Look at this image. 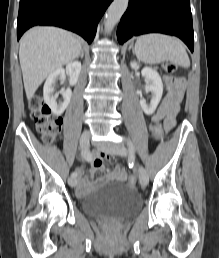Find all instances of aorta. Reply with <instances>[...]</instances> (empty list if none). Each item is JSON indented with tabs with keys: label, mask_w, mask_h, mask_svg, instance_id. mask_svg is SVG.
Here are the masks:
<instances>
[{
	"label": "aorta",
	"mask_w": 219,
	"mask_h": 258,
	"mask_svg": "<svg viewBox=\"0 0 219 258\" xmlns=\"http://www.w3.org/2000/svg\"><path fill=\"white\" fill-rule=\"evenodd\" d=\"M129 0H114L105 15V32L109 33L119 22L128 7Z\"/></svg>",
	"instance_id": "762f6f07"
}]
</instances>
